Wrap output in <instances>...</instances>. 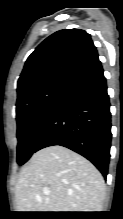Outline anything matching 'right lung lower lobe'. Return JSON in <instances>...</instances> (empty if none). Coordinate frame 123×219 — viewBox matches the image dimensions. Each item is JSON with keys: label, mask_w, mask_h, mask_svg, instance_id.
<instances>
[{"label": "right lung lower lobe", "mask_w": 123, "mask_h": 219, "mask_svg": "<svg viewBox=\"0 0 123 219\" xmlns=\"http://www.w3.org/2000/svg\"><path fill=\"white\" fill-rule=\"evenodd\" d=\"M111 113L106 79L98 60L68 82L36 142V151L67 147L106 178L111 146Z\"/></svg>", "instance_id": "98d812e1"}]
</instances>
